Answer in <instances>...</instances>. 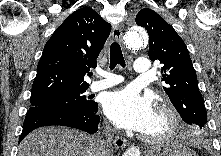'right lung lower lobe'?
I'll list each match as a JSON object with an SVG mask.
<instances>
[{
  "label": "right lung lower lobe",
  "instance_id": "98d812e1",
  "mask_svg": "<svg viewBox=\"0 0 221 156\" xmlns=\"http://www.w3.org/2000/svg\"><path fill=\"white\" fill-rule=\"evenodd\" d=\"M98 104L92 110H66L31 107L26 114L19 142L32 130L48 125L68 126L96 133L100 116L97 115Z\"/></svg>",
  "mask_w": 221,
  "mask_h": 156
}]
</instances>
